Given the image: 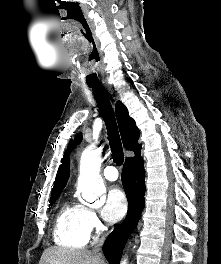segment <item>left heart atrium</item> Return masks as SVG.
<instances>
[{
    "label": "left heart atrium",
    "mask_w": 221,
    "mask_h": 264,
    "mask_svg": "<svg viewBox=\"0 0 221 264\" xmlns=\"http://www.w3.org/2000/svg\"><path fill=\"white\" fill-rule=\"evenodd\" d=\"M126 211L127 199L125 194L117 187L111 188L101 209L102 218L108 223H115L125 215Z\"/></svg>",
    "instance_id": "1"
}]
</instances>
